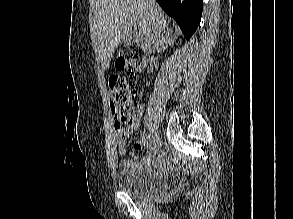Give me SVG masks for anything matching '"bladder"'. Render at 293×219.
<instances>
[{
  "label": "bladder",
  "mask_w": 293,
  "mask_h": 219,
  "mask_svg": "<svg viewBox=\"0 0 293 219\" xmlns=\"http://www.w3.org/2000/svg\"><path fill=\"white\" fill-rule=\"evenodd\" d=\"M119 189L138 199L164 190L168 179L161 174L142 167L122 169L117 174Z\"/></svg>",
  "instance_id": "31cf9c89"
}]
</instances>
